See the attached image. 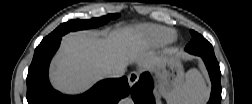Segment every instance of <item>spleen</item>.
<instances>
[{"instance_id": "1", "label": "spleen", "mask_w": 252, "mask_h": 104, "mask_svg": "<svg viewBox=\"0 0 252 104\" xmlns=\"http://www.w3.org/2000/svg\"><path fill=\"white\" fill-rule=\"evenodd\" d=\"M209 90L202 74L192 69L187 73V80L174 94L171 103L200 104L208 98Z\"/></svg>"}]
</instances>
